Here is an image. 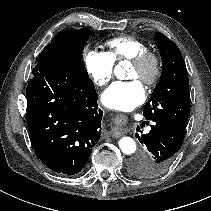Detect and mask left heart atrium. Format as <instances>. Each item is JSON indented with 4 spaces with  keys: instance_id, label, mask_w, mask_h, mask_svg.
Masks as SVG:
<instances>
[{
    "instance_id": "left-heart-atrium-1",
    "label": "left heart atrium",
    "mask_w": 211,
    "mask_h": 211,
    "mask_svg": "<svg viewBox=\"0 0 211 211\" xmlns=\"http://www.w3.org/2000/svg\"><path fill=\"white\" fill-rule=\"evenodd\" d=\"M146 97L142 83L138 79L116 81L101 96L103 104L112 110L130 111L140 105Z\"/></svg>"
}]
</instances>
